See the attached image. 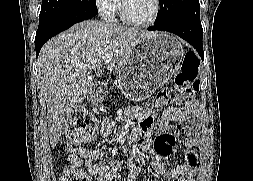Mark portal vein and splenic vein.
Returning a JSON list of instances; mask_svg holds the SVG:
<instances>
[{
    "label": "portal vein and splenic vein",
    "instance_id": "obj_1",
    "mask_svg": "<svg viewBox=\"0 0 253 181\" xmlns=\"http://www.w3.org/2000/svg\"><path fill=\"white\" fill-rule=\"evenodd\" d=\"M113 58V54L112 53H108L103 57V61L105 63H110L112 61ZM83 69H86V67H82Z\"/></svg>",
    "mask_w": 253,
    "mask_h": 181
}]
</instances>
